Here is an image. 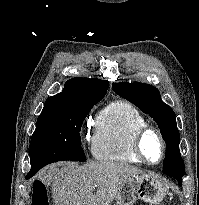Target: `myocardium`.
I'll return each instance as SVG.
<instances>
[{"label": "myocardium", "mask_w": 199, "mask_h": 205, "mask_svg": "<svg viewBox=\"0 0 199 205\" xmlns=\"http://www.w3.org/2000/svg\"><path fill=\"white\" fill-rule=\"evenodd\" d=\"M148 134H154L158 138L160 145H161V157L156 162H152V161L148 160V158L146 157V155L143 151V140ZM132 151H133L134 155L142 163L147 164V165H157L164 160L165 155H166V151H167V147H166L165 139H164L162 133L160 132V130H158L156 127L147 125V126L141 128L135 132V134L133 136V141H132Z\"/></svg>", "instance_id": "1"}]
</instances>
